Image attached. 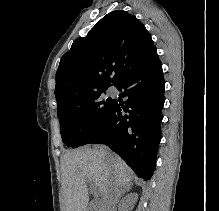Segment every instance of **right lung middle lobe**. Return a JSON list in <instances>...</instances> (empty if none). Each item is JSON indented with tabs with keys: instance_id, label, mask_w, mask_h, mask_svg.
<instances>
[{
	"instance_id": "dd1d6c3e",
	"label": "right lung middle lobe",
	"mask_w": 219,
	"mask_h": 211,
	"mask_svg": "<svg viewBox=\"0 0 219 211\" xmlns=\"http://www.w3.org/2000/svg\"><path fill=\"white\" fill-rule=\"evenodd\" d=\"M107 90V89H105ZM101 90L58 105L63 142L72 148L85 145L90 131L106 119L115 100L106 98Z\"/></svg>"
}]
</instances>
